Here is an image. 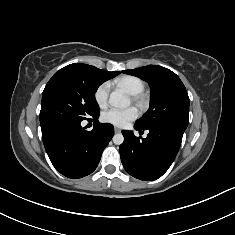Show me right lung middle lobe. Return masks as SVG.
<instances>
[{"label":"right lung middle lobe","mask_w":235,"mask_h":235,"mask_svg":"<svg viewBox=\"0 0 235 235\" xmlns=\"http://www.w3.org/2000/svg\"><path fill=\"white\" fill-rule=\"evenodd\" d=\"M103 81L60 69L47 83L43 94L40 122L50 119L78 121L98 117L95 92Z\"/></svg>","instance_id":"1"}]
</instances>
